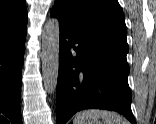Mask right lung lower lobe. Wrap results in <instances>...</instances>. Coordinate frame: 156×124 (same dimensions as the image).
<instances>
[{
  "mask_svg": "<svg viewBox=\"0 0 156 124\" xmlns=\"http://www.w3.org/2000/svg\"><path fill=\"white\" fill-rule=\"evenodd\" d=\"M26 28L0 31V124H22L20 97Z\"/></svg>",
  "mask_w": 156,
  "mask_h": 124,
  "instance_id": "obj_1",
  "label": "right lung lower lobe"
}]
</instances>
